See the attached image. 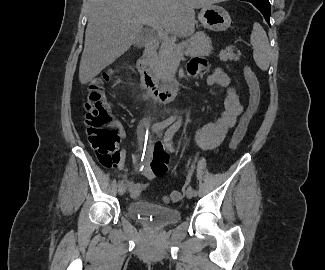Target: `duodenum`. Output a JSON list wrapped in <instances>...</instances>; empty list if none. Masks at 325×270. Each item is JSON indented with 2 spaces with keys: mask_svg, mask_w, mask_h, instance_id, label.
Listing matches in <instances>:
<instances>
[{
  "mask_svg": "<svg viewBox=\"0 0 325 270\" xmlns=\"http://www.w3.org/2000/svg\"><path fill=\"white\" fill-rule=\"evenodd\" d=\"M159 43V39L154 38L145 46L142 56L138 60L137 68L146 93L160 103H169L178 95L180 85L178 82H172L165 86H160L157 83L153 64Z\"/></svg>",
  "mask_w": 325,
  "mask_h": 270,
  "instance_id": "obj_1",
  "label": "duodenum"
}]
</instances>
